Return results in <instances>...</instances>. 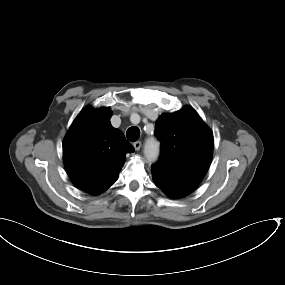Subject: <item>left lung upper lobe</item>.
Segmentation results:
<instances>
[{
    "label": "left lung upper lobe",
    "mask_w": 285,
    "mask_h": 285,
    "mask_svg": "<svg viewBox=\"0 0 285 285\" xmlns=\"http://www.w3.org/2000/svg\"><path fill=\"white\" fill-rule=\"evenodd\" d=\"M155 135L161 141V155L151 169L198 185L210 166L213 153V134L198 113L186 106L161 115L156 121Z\"/></svg>",
    "instance_id": "1"
}]
</instances>
